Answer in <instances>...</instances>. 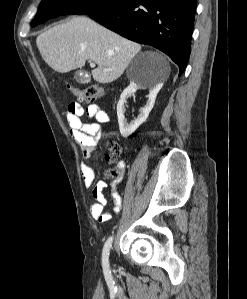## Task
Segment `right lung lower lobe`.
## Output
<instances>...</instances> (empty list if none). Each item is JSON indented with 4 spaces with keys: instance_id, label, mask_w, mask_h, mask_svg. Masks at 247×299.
Returning <instances> with one entry per match:
<instances>
[{
    "instance_id": "obj_1",
    "label": "right lung lower lobe",
    "mask_w": 247,
    "mask_h": 299,
    "mask_svg": "<svg viewBox=\"0 0 247 299\" xmlns=\"http://www.w3.org/2000/svg\"><path fill=\"white\" fill-rule=\"evenodd\" d=\"M196 0H123L88 14L132 41L166 53L184 72L191 51Z\"/></svg>"
}]
</instances>
